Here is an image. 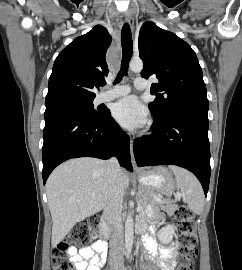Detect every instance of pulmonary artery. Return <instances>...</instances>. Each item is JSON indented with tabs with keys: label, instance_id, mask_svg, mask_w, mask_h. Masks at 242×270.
<instances>
[{
	"label": "pulmonary artery",
	"instance_id": "obj_1",
	"mask_svg": "<svg viewBox=\"0 0 242 270\" xmlns=\"http://www.w3.org/2000/svg\"><path fill=\"white\" fill-rule=\"evenodd\" d=\"M135 87L138 90H144L148 87V83L144 78H136L134 82ZM130 92V87L127 85H118L112 89L106 90L99 95V101L105 102L116 99L121 96H125Z\"/></svg>",
	"mask_w": 242,
	"mask_h": 270
}]
</instances>
